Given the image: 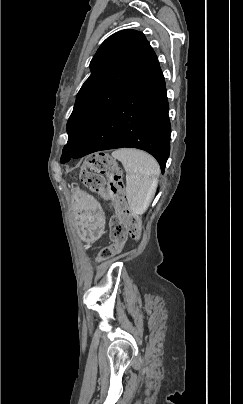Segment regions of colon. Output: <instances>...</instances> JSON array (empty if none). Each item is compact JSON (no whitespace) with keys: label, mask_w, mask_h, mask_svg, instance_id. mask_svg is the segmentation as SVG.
<instances>
[{"label":"colon","mask_w":243,"mask_h":404,"mask_svg":"<svg viewBox=\"0 0 243 404\" xmlns=\"http://www.w3.org/2000/svg\"><path fill=\"white\" fill-rule=\"evenodd\" d=\"M103 175L107 176V181ZM80 178L87 189L100 194L117 212L110 221L112 244L99 254V260L103 261L117 254L128 236L139 237L141 221L128 207L121 172L108 155L98 153L91 156L85 162Z\"/></svg>","instance_id":"5ec220e1"}]
</instances>
